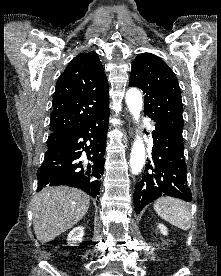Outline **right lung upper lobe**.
Returning a JSON list of instances; mask_svg holds the SVG:
<instances>
[{
    "label": "right lung upper lobe",
    "mask_w": 221,
    "mask_h": 276,
    "mask_svg": "<svg viewBox=\"0 0 221 276\" xmlns=\"http://www.w3.org/2000/svg\"><path fill=\"white\" fill-rule=\"evenodd\" d=\"M49 137H67L109 107V85L95 52L81 53L60 75Z\"/></svg>",
    "instance_id": "obj_1"
}]
</instances>
